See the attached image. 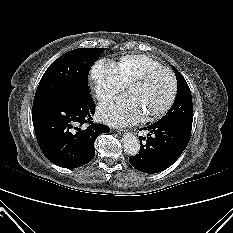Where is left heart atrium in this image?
<instances>
[{
    "mask_svg": "<svg viewBox=\"0 0 233 233\" xmlns=\"http://www.w3.org/2000/svg\"><path fill=\"white\" fill-rule=\"evenodd\" d=\"M100 119L111 125H128L138 122L144 115L137 98L126 94L101 104Z\"/></svg>",
    "mask_w": 233,
    "mask_h": 233,
    "instance_id": "obj_1",
    "label": "left heart atrium"
}]
</instances>
